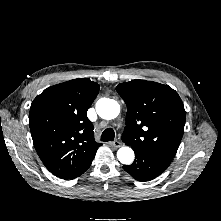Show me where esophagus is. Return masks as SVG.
<instances>
[{
    "mask_svg": "<svg viewBox=\"0 0 221 221\" xmlns=\"http://www.w3.org/2000/svg\"><path fill=\"white\" fill-rule=\"evenodd\" d=\"M109 145H111V146L114 147V148H119V147H121L123 144H122V142L116 140V141H114V142H110Z\"/></svg>",
    "mask_w": 221,
    "mask_h": 221,
    "instance_id": "obj_1",
    "label": "esophagus"
}]
</instances>
